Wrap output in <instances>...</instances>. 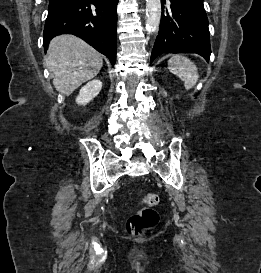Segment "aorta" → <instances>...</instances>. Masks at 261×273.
Listing matches in <instances>:
<instances>
[{"label":"aorta","instance_id":"1","mask_svg":"<svg viewBox=\"0 0 261 273\" xmlns=\"http://www.w3.org/2000/svg\"><path fill=\"white\" fill-rule=\"evenodd\" d=\"M161 19V0H146V30H157Z\"/></svg>","mask_w":261,"mask_h":273}]
</instances>
